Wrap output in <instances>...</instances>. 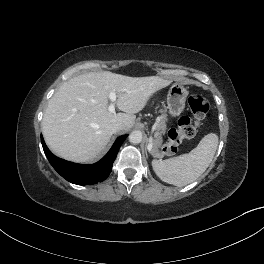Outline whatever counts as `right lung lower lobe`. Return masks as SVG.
Masks as SVG:
<instances>
[{
  "label": "right lung lower lobe",
  "instance_id": "1",
  "mask_svg": "<svg viewBox=\"0 0 264 264\" xmlns=\"http://www.w3.org/2000/svg\"><path fill=\"white\" fill-rule=\"evenodd\" d=\"M127 136L118 137L109 152L92 165L76 164L60 159L50 152L42 135L41 142L50 164L63 178L77 185H91L102 182L109 176L119 148Z\"/></svg>",
  "mask_w": 264,
  "mask_h": 264
}]
</instances>
